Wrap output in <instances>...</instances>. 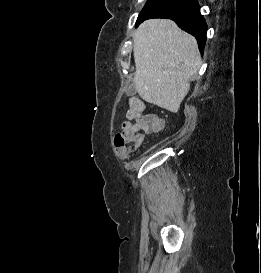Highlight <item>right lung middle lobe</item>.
<instances>
[{"mask_svg":"<svg viewBox=\"0 0 261 273\" xmlns=\"http://www.w3.org/2000/svg\"><path fill=\"white\" fill-rule=\"evenodd\" d=\"M168 0H149L144 6L142 12L139 14L136 25L144 18L159 15L171 7L168 6Z\"/></svg>","mask_w":261,"mask_h":273,"instance_id":"dd1d6c3e","label":"right lung middle lobe"}]
</instances>
